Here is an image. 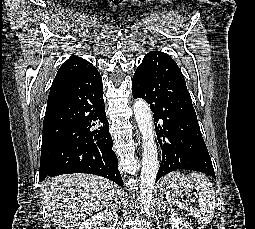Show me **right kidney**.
<instances>
[{"instance_id":"right-kidney-1","label":"right kidney","mask_w":255,"mask_h":229,"mask_svg":"<svg viewBox=\"0 0 255 229\" xmlns=\"http://www.w3.org/2000/svg\"><path fill=\"white\" fill-rule=\"evenodd\" d=\"M117 222L118 214L114 210L106 209L86 219L79 229H115ZM104 223L106 226L102 228Z\"/></svg>"}]
</instances>
